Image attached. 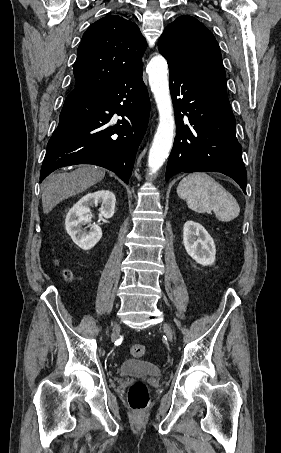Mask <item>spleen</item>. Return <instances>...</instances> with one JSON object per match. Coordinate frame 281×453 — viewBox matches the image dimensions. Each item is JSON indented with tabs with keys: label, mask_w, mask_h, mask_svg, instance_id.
Instances as JSON below:
<instances>
[{
	"label": "spleen",
	"mask_w": 281,
	"mask_h": 453,
	"mask_svg": "<svg viewBox=\"0 0 281 453\" xmlns=\"http://www.w3.org/2000/svg\"><path fill=\"white\" fill-rule=\"evenodd\" d=\"M178 196L185 198L191 210L195 212H215L218 220H232L240 212V206L219 182L206 172H192L180 180L177 186Z\"/></svg>",
	"instance_id": "3e777b00"
}]
</instances>
